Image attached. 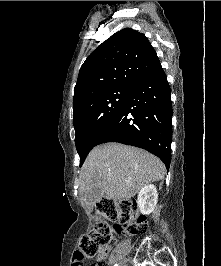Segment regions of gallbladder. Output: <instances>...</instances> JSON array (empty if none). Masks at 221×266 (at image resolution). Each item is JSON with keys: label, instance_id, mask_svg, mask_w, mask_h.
Segmentation results:
<instances>
[{"label": "gallbladder", "instance_id": "bac80fb5", "mask_svg": "<svg viewBox=\"0 0 221 266\" xmlns=\"http://www.w3.org/2000/svg\"><path fill=\"white\" fill-rule=\"evenodd\" d=\"M104 196V192L100 187H92L85 195V201L88 205H94Z\"/></svg>", "mask_w": 221, "mask_h": 266}]
</instances>
